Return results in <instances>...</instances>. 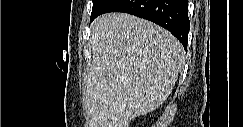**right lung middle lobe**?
Instances as JSON below:
<instances>
[{
  "mask_svg": "<svg viewBox=\"0 0 243 127\" xmlns=\"http://www.w3.org/2000/svg\"><path fill=\"white\" fill-rule=\"evenodd\" d=\"M107 0H93V8L90 19L102 8Z\"/></svg>",
  "mask_w": 243,
  "mask_h": 127,
  "instance_id": "dd1d6c3e",
  "label": "right lung middle lobe"
}]
</instances>
